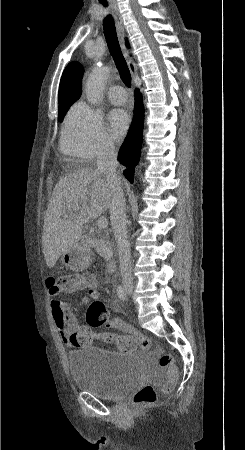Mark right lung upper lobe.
<instances>
[{"label": "right lung upper lobe", "mask_w": 245, "mask_h": 450, "mask_svg": "<svg viewBox=\"0 0 245 450\" xmlns=\"http://www.w3.org/2000/svg\"><path fill=\"white\" fill-rule=\"evenodd\" d=\"M128 44V41H127ZM84 68L78 62L67 65L63 71L59 86V108L73 104L82 93V77Z\"/></svg>", "instance_id": "right-lung-upper-lobe-1"}]
</instances>
